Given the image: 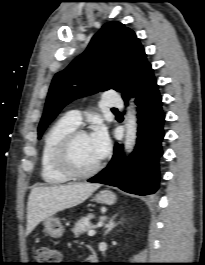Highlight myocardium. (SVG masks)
I'll use <instances>...</instances> for the list:
<instances>
[{"instance_id":"1","label":"myocardium","mask_w":205,"mask_h":265,"mask_svg":"<svg viewBox=\"0 0 205 265\" xmlns=\"http://www.w3.org/2000/svg\"><path fill=\"white\" fill-rule=\"evenodd\" d=\"M88 135L83 129H74L69 132L60 142L56 154L55 164L57 168L66 176L73 179H85L96 174L101 168V161L86 171L77 170L71 161V150L74 142L81 136Z\"/></svg>"}]
</instances>
